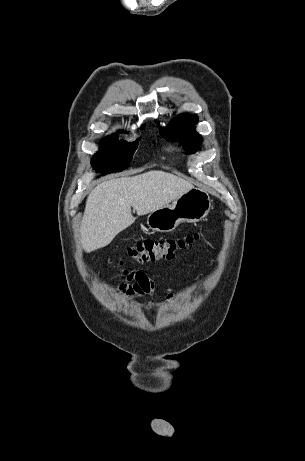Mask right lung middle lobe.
<instances>
[{
    "label": "right lung middle lobe",
    "instance_id": "dd1d6c3e",
    "mask_svg": "<svg viewBox=\"0 0 305 461\" xmlns=\"http://www.w3.org/2000/svg\"><path fill=\"white\" fill-rule=\"evenodd\" d=\"M144 128V125L141 129ZM138 140L126 142L118 140V135L113 134L101 141V149L92 159L95 169L106 175L112 172H120L128 167L132 155L137 149Z\"/></svg>",
    "mask_w": 305,
    "mask_h": 461
}]
</instances>
